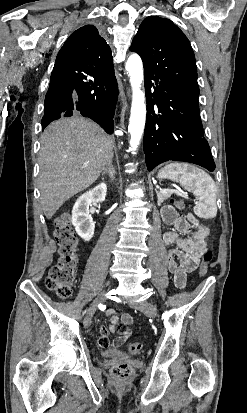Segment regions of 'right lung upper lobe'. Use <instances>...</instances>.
<instances>
[{"mask_svg":"<svg viewBox=\"0 0 247 413\" xmlns=\"http://www.w3.org/2000/svg\"><path fill=\"white\" fill-rule=\"evenodd\" d=\"M113 70L109 45L93 25L73 32L60 49L53 71L100 74Z\"/></svg>","mask_w":247,"mask_h":413,"instance_id":"cb5924a9","label":"right lung upper lobe"}]
</instances>
